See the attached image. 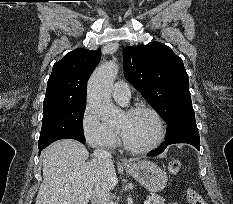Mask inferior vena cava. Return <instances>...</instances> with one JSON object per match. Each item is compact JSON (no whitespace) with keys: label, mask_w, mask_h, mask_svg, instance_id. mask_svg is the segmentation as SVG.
I'll return each mask as SVG.
<instances>
[{"label":"inferior vena cava","mask_w":233,"mask_h":204,"mask_svg":"<svg viewBox=\"0 0 233 204\" xmlns=\"http://www.w3.org/2000/svg\"><path fill=\"white\" fill-rule=\"evenodd\" d=\"M93 155L95 159L101 164L108 165L112 162V155L108 151L97 148L94 150ZM92 204H114L112 201V197L110 194V190L107 186V184L104 182L102 185V189L93 195L91 199Z\"/></svg>","instance_id":"obj_1"}]
</instances>
